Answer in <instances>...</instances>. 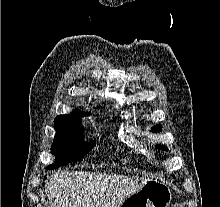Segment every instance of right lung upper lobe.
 <instances>
[{
	"label": "right lung upper lobe",
	"instance_id": "obj_1",
	"mask_svg": "<svg viewBox=\"0 0 220 207\" xmlns=\"http://www.w3.org/2000/svg\"><path fill=\"white\" fill-rule=\"evenodd\" d=\"M77 110V112H79V113H81V114H85V113H83L82 111H80V110H78V109H76Z\"/></svg>",
	"mask_w": 220,
	"mask_h": 207
}]
</instances>
